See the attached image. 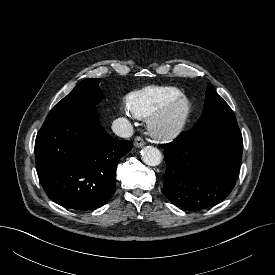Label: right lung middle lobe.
I'll return each instance as SVG.
<instances>
[{
    "label": "right lung middle lobe",
    "mask_w": 275,
    "mask_h": 275,
    "mask_svg": "<svg viewBox=\"0 0 275 275\" xmlns=\"http://www.w3.org/2000/svg\"><path fill=\"white\" fill-rule=\"evenodd\" d=\"M100 79L81 81L66 97L49 112L44 124L69 119L95 110L103 95L99 89Z\"/></svg>",
    "instance_id": "1"
}]
</instances>
